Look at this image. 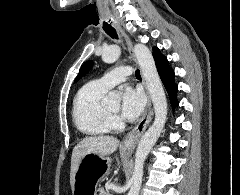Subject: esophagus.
<instances>
[{"mask_svg":"<svg viewBox=\"0 0 240 195\" xmlns=\"http://www.w3.org/2000/svg\"><path fill=\"white\" fill-rule=\"evenodd\" d=\"M114 27L124 35L129 53L132 56L133 60L136 61V57H135L134 51H133V45H132L130 38L127 37V35L123 32V30L119 24H114ZM144 87H145L146 95H147V104H146L144 113H143L141 119L139 120V122L137 123V125H135V127L124 138L122 148L136 147L140 137L145 132L146 128L148 127L149 123L151 122L152 115H153L152 102H151L150 94L148 92V89H147L145 83H144Z\"/></svg>","mask_w":240,"mask_h":195,"instance_id":"34e87169","label":"esophagus"}]
</instances>
